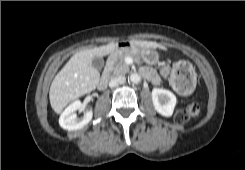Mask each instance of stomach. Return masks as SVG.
<instances>
[{
	"mask_svg": "<svg viewBox=\"0 0 245 170\" xmlns=\"http://www.w3.org/2000/svg\"><path fill=\"white\" fill-rule=\"evenodd\" d=\"M122 51L133 52L134 54L141 57L143 61H145L146 63L150 65H155L158 63L159 56H158V53L154 49H145V48H140L134 45H130V46L121 45L113 53V57H115L118 52H122ZM177 70H182L183 72H185V74L182 75V77L185 79L189 77L191 80L190 87L188 89H186L185 86L182 87V92L187 93V94L191 93L196 85V79H195V75H194L192 67L190 65H187V66L178 65L174 67L173 73H175Z\"/></svg>",
	"mask_w": 245,
	"mask_h": 170,
	"instance_id": "stomach-1",
	"label": "stomach"
}]
</instances>
